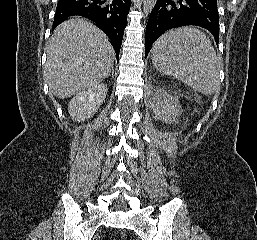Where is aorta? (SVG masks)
<instances>
[{
    "instance_id": "762f6f07",
    "label": "aorta",
    "mask_w": 257,
    "mask_h": 240,
    "mask_svg": "<svg viewBox=\"0 0 257 240\" xmlns=\"http://www.w3.org/2000/svg\"><path fill=\"white\" fill-rule=\"evenodd\" d=\"M157 0H143V12L148 15L151 13L153 7L155 6Z\"/></svg>"
}]
</instances>
